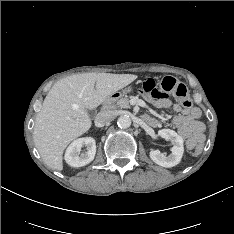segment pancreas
<instances>
[{
    "mask_svg": "<svg viewBox=\"0 0 234 234\" xmlns=\"http://www.w3.org/2000/svg\"><path fill=\"white\" fill-rule=\"evenodd\" d=\"M105 109L114 110L117 108H130L129 98L124 97L119 99L116 103L108 102L105 104Z\"/></svg>",
    "mask_w": 234,
    "mask_h": 234,
    "instance_id": "obj_1",
    "label": "pancreas"
}]
</instances>
